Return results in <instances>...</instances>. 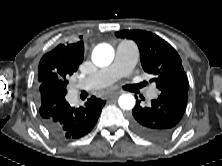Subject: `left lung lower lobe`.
Returning a JSON list of instances; mask_svg holds the SVG:
<instances>
[{
    "mask_svg": "<svg viewBox=\"0 0 222 166\" xmlns=\"http://www.w3.org/2000/svg\"><path fill=\"white\" fill-rule=\"evenodd\" d=\"M160 96L149 106H141L137 101L130 119L131 128L140 136L161 140L177 127L188 101V89L181 87L163 88Z\"/></svg>",
    "mask_w": 222,
    "mask_h": 166,
    "instance_id": "1",
    "label": "left lung lower lobe"
}]
</instances>
